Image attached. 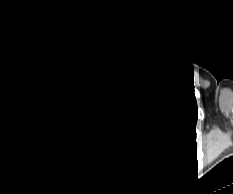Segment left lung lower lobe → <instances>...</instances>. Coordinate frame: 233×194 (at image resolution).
Here are the masks:
<instances>
[{
  "mask_svg": "<svg viewBox=\"0 0 233 194\" xmlns=\"http://www.w3.org/2000/svg\"><path fill=\"white\" fill-rule=\"evenodd\" d=\"M182 158V156L175 155H156L147 151L141 156L140 161L141 165L147 170L163 172L178 164L182 161Z\"/></svg>",
  "mask_w": 233,
  "mask_h": 194,
  "instance_id": "obj_1",
  "label": "left lung lower lobe"
}]
</instances>
